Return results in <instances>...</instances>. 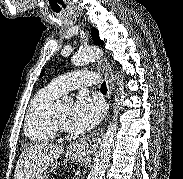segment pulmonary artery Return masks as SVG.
Here are the masks:
<instances>
[{"instance_id":"obj_1","label":"pulmonary artery","mask_w":183,"mask_h":179,"mask_svg":"<svg viewBox=\"0 0 183 179\" xmlns=\"http://www.w3.org/2000/svg\"><path fill=\"white\" fill-rule=\"evenodd\" d=\"M98 83V76L91 71H74L59 76L49 83V87L62 95L82 86H92Z\"/></svg>"}]
</instances>
